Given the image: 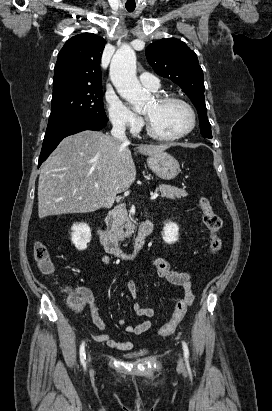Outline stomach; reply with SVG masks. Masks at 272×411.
<instances>
[{
	"label": "stomach",
	"instance_id": "0dacf381",
	"mask_svg": "<svg viewBox=\"0 0 272 411\" xmlns=\"http://www.w3.org/2000/svg\"><path fill=\"white\" fill-rule=\"evenodd\" d=\"M147 164L163 180H172L180 173L178 161L166 152L149 155Z\"/></svg>",
	"mask_w": 272,
	"mask_h": 411
}]
</instances>
